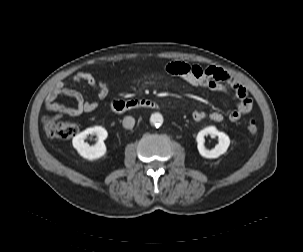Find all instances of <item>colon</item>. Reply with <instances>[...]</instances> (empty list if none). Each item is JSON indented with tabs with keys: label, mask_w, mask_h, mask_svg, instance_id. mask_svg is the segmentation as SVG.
Here are the masks:
<instances>
[{
	"label": "colon",
	"mask_w": 303,
	"mask_h": 252,
	"mask_svg": "<svg viewBox=\"0 0 303 252\" xmlns=\"http://www.w3.org/2000/svg\"><path fill=\"white\" fill-rule=\"evenodd\" d=\"M44 131L49 138L68 139L78 133V127L71 122H60L51 118H46L43 123ZM250 135H256L259 131V125L255 121H250L247 126Z\"/></svg>",
	"instance_id": "1"
}]
</instances>
